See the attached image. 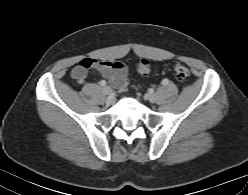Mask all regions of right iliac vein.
Here are the masks:
<instances>
[{"label":"right iliac vein","instance_id":"right-iliac-vein-1","mask_svg":"<svg viewBox=\"0 0 248 195\" xmlns=\"http://www.w3.org/2000/svg\"><path fill=\"white\" fill-rule=\"evenodd\" d=\"M103 92L105 93V95H110L112 93V89L109 86H104Z\"/></svg>","mask_w":248,"mask_h":195}]
</instances>
